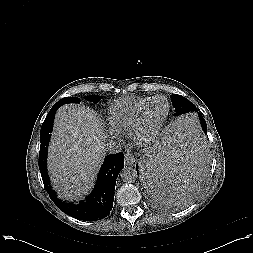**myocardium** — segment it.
Masks as SVG:
<instances>
[{"label":"myocardium","instance_id":"f54148a6","mask_svg":"<svg viewBox=\"0 0 253 253\" xmlns=\"http://www.w3.org/2000/svg\"><path fill=\"white\" fill-rule=\"evenodd\" d=\"M158 98H163L167 101V112L162 119V121L154 128L150 130H145L143 128V123L145 120V115L147 112L148 107L152 104L153 101H155ZM171 112V104L170 101L168 100L167 97L163 95H156L151 97L139 110V113L137 115V118L132 126V129L130 130V137L134 140L137 141H142V142H149L152 139H154L160 131L163 129L165 126Z\"/></svg>","mask_w":253,"mask_h":253}]
</instances>
